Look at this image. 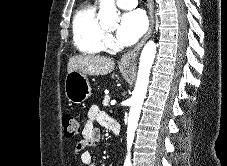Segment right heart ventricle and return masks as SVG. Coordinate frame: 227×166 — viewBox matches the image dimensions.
Instances as JSON below:
<instances>
[{"instance_id":"1","label":"right heart ventricle","mask_w":227,"mask_h":166,"mask_svg":"<svg viewBox=\"0 0 227 166\" xmlns=\"http://www.w3.org/2000/svg\"><path fill=\"white\" fill-rule=\"evenodd\" d=\"M73 44L83 54L95 55L106 48L107 36L96 14L95 4L85 3L72 21Z\"/></svg>"}]
</instances>
